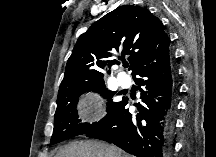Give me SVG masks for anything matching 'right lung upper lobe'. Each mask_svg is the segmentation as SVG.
Segmentation results:
<instances>
[{
  "label": "right lung upper lobe",
  "instance_id": "right-lung-upper-lobe-1",
  "mask_svg": "<svg viewBox=\"0 0 216 157\" xmlns=\"http://www.w3.org/2000/svg\"><path fill=\"white\" fill-rule=\"evenodd\" d=\"M169 44L162 22L148 9L134 5L119 6L80 35L67 61L57 98L105 87L99 68L106 63L119 64L112 60L115 53L122 55L119 57L121 60L130 55L128 60L134 75L168 51Z\"/></svg>",
  "mask_w": 216,
  "mask_h": 157
}]
</instances>
